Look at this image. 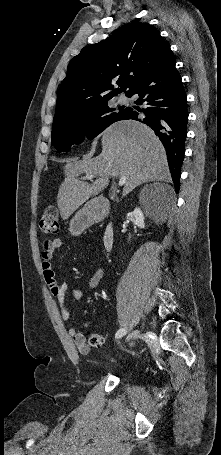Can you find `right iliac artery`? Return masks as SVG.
I'll return each instance as SVG.
<instances>
[{"label":"right iliac artery","instance_id":"obj_1","mask_svg":"<svg viewBox=\"0 0 221 455\" xmlns=\"http://www.w3.org/2000/svg\"><path fill=\"white\" fill-rule=\"evenodd\" d=\"M126 332H127V331H126L125 328H121V329H119V330L117 331L115 337H116L117 339H118V338H121V337H123V336L126 334Z\"/></svg>","mask_w":221,"mask_h":455}]
</instances>
